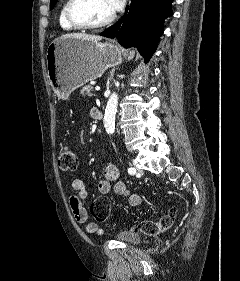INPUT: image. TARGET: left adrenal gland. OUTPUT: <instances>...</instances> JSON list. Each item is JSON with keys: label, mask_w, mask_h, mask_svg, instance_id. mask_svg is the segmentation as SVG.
<instances>
[{"label": "left adrenal gland", "mask_w": 240, "mask_h": 281, "mask_svg": "<svg viewBox=\"0 0 240 281\" xmlns=\"http://www.w3.org/2000/svg\"><path fill=\"white\" fill-rule=\"evenodd\" d=\"M114 72H115V70H113V71L111 72V77L113 76Z\"/></svg>", "instance_id": "left-adrenal-gland-1"}]
</instances>
